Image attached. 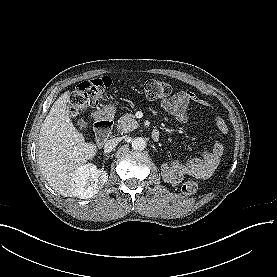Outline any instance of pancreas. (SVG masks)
Masks as SVG:
<instances>
[{"label": "pancreas", "mask_w": 277, "mask_h": 277, "mask_svg": "<svg viewBox=\"0 0 277 277\" xmlns=\"http://www.w3.org/2000/svg\"><path fill=\"white\" fill-rule=\"evenodd\" d=\"M138 126L135 116L131 113H126L120 117L116 125L118 132L121 133H128L136 129Z\"/></svg>", "instance_id": "obj_1"}]
</instances>
